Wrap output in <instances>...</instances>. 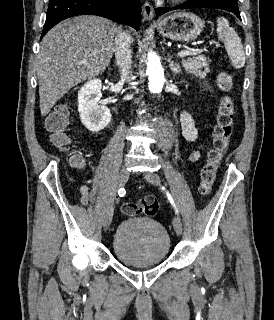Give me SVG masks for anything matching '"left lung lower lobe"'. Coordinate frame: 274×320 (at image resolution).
Here are the masks:
<instances>
[{
  "instance_id": "obj_1",
  "label": "left lung lower lobe",
  "mask_w": 274,
  "mask_h": 320,
  "mask_svg": "<svg viewBox=\"0 0 274 320\" xmlns=\"http://www.w3.org/2000/svg\"><path fill=\"white\" fill-rule=\"evenodd\" d=\"M190 8H217L223 9L229 12L234 13L240 20V12L238 6L227 4L221 0H189L188 2L182 4L181 6L175 8H164L159 7L156 9L157 15H162L173 9H190Z\"/></svg>"
}]
</instances>
